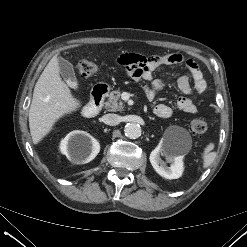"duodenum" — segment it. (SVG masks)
Instances as JSON below:
<instances>
[{"instance_id":"obj_1","label":"duodenum","mask_w":247,"mask_h":247,"mask_svg":"<svg viewBox=\"0 0 247 247\" xmlns=\"http://www.w3.org/2000/svg\"><path fill=\"white\" fill-rule=\"evenodd\" d=\"M107 92L108 87L104 84H98L93 88L90 101L82 110L84 117L92 118L99 113Z\"/></svg>"}]
</instances>
